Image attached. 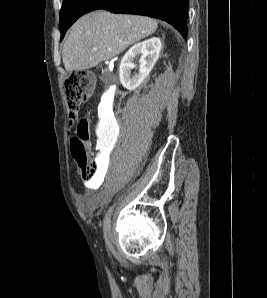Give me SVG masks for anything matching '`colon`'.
I'll return each instance as SVG.
<instances>
[{"label": "colon", "instance_id": "obj_1", "mask_svg": "<svg viewBox=\"0 0 267 298\" xmlns=\"http://www.w3.org/2000/svg\"><path fill=\"white\" fill-rule=\"evenodd\" d=\"M94 89V77L86 71L73 72L65 81V93L70 119H75L79 109L91 96ZM90 136V122L82 119L78 125L77 135L71 139L70 148L78 171L84 181L96 178L99 159L90 154L87 141Z\"/></svg>", "mask_w": 267, "mask_h": 298}]
</instances>
